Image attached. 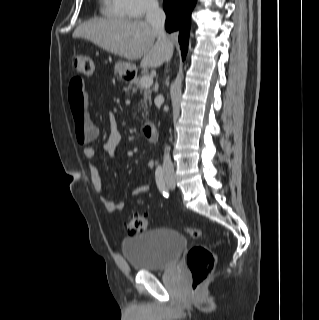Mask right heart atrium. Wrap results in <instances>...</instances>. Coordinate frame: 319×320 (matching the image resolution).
Masks as SVG:
<instances>
[{
	"label": "right heart atrium",
	"mask_w": 319,
	"mask_h": 320,
	"mask_svg": "<svg viewBox=\"0 0 319 320\" xmlns=\"http://www.w3.org/2000/svg\"><path fill=\"white\" fill-rule=\"evenodd\" d=\"M127 16L142 18L159 7L158 0H121Z\"/></svg>",
	"instance_id": "d8ad5b80"
}]
</instances>
